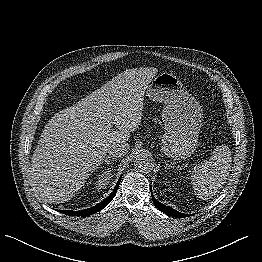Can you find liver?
<instances>
[{
    "instance_id": "1",
    "label": "liver",
    "mask_w": 262,
    "mask_h": 262,
    "mask_svg": "<svg viewBox=\"0 0 262 262\" xmlns=\"http://www.w3.org/2000/svg\"><path fill=\"white\" fill-rule=\"evenodd\" d=\"M157 72L153 67L127 69L48 121L29 172L31 185L46 202L70 200L109 147L129 140L141 123L144 94Z\"/></svg>"
}]
</instances>
